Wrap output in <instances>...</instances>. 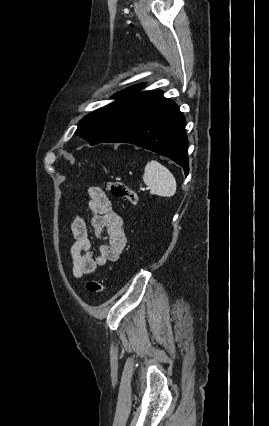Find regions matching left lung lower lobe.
Here are the masks:
<instances>
[{
  "label": "left lung lower lobe",
  "mask_w": 269,
  "mask_h": 426,
  "mask_svg": "<svg viewBox=\"0 0 269 426\" xmlns=\"http://www.w3.org/2000/svg\"><path fill=\"white\" fill-rule=\"evenodd\" d=\"M185 117L161 91L135 94L104 142L131 143L170 158L189 173Z\"/></svg>",
  "instance_id": "1"
}]
</instances>
